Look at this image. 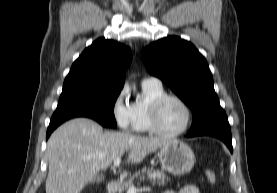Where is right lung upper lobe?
<instances>
[{"label": "right lung upper lobe", "mask_w": 277, "mask_h": 193, "mask_svg": "<svg viewBox=\"0 0 277 193\" xmlns=\"http://www.w3.org/2000/svg\"><path fill=\"white\" fill-rule=\"evenodd\" d=\"M131 60L132 53L128 47L99 38L73 63L63 90L88 87L121 91Z\"/></svg>", "instance_id": "cb5924a9"}]
</instances>
